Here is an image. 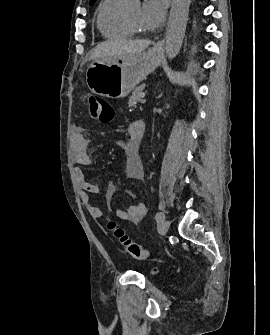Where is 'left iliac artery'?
I'll list each match as a JSON object with an SVG mask.
<instances>
[{"label": "left iliac artery", "instance_id": "1", "mask_svg": "<svg viewBox=\"0 0 270 335\" xmlns=\"http://www.w3.org/2000/svg\"><path fill=\"white\" fill-rule=\"evenodd\" d=\"M155 219L158 223H162L165 220V214L162 212H159L156 214Z\"/></svg>", "mask_w": 270, "mask_h": 335}]
</instances>
